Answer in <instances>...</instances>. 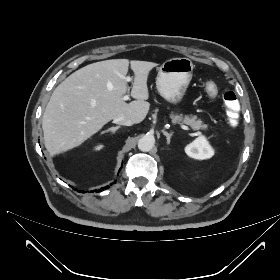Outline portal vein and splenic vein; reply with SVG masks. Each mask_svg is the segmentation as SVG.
I'll return each instance as SVG.
<instances>
[{
    "instance_id": "obj_1",
    "label": "portal vein and splenic vein",
    "mask_w": 280,
    "mask_h": 280,
    "mask_svg": "<svg viewBox=\"0 0 280 280\" xmlns=\"http://www.w3.org/2000/svg\"><path fill=\"white\" fill-rule=\"evenodd\" d=\"M122 100H123V101L129 100V95L123 96ZM180 127H181L182 129H184V130H190V128H189L188 126L184 125V124H180Z\"/></svg>"
}]
</instances>
